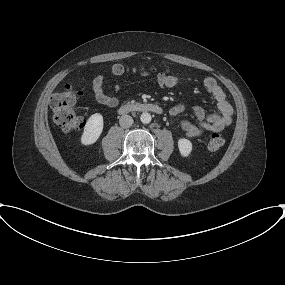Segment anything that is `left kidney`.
Instances as JSON below:
<instances>
[{"label":"left kidney","instance_id":"5707ae66","mask_svg":"<svg viewBox=\"0 0 285 285\" xmlns=\"http://www.w3.org/2000/svg\"><path fill=\"white\" fill-rule=\"evenodd\" d=\"M178 148H179L180 154L183 157H187L192 152V143L190 140L186 138H180L178 140Z\"/></svg>","mask_w":285,"mask_h":285}]
</instances>
